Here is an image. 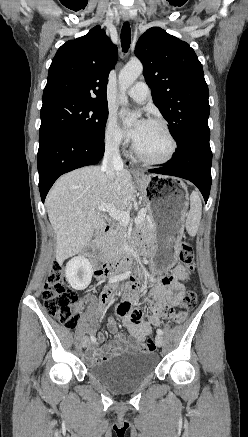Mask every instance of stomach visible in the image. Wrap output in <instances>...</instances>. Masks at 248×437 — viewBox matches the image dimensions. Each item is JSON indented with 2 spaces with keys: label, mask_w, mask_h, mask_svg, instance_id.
<instances>
[{
  "label": "stomach",
  "mask_w": 248,
  "mask_h": 437,
  "mask_svg": "<svg viewBox=\"0 0 248 437\" xmlns=\"http://www.w3.org/2000/svg\"><path fill=\"white\" fill-rule=\"evenodd\" d=\"M144 196L153 231L156 236L157 254L151 262L165 270L175 259L176 247L184 228L188 209V192L182 182L161 175L137 177Z\"/></svg>",
  "instance_id": "stomach-1"
}]
</instances>
